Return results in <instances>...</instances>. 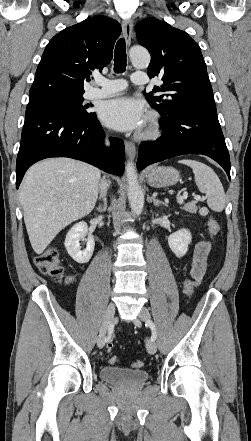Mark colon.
<instances>
[{
  "label": "colon",
  "mask_w": 251,
  "mask_h": 441,
  "mask_svg": "<svg viewBox=\"0 0 251 441\" xmlns=\"http://www.w3.org/2000/svg\"><path fill=\"white\" fill-rule=\"evenodd\" d=\"M208 229L212 236H216L220 231L219 223L216 219L213 217H209L208 222ZM35 265L39 269V271L49 276L50 278H53L55 280L59 281H69L70 279L68 277H65L64 275V268L60 262L59 252L55 247H49L46 250H44L40 255H38L35 258ZM195 286V280H186L184 284V291L187 296H191L194 290ZM114 348L113 342H109L107 345V350L110 352ZM118 361V358L116 356H111L109 358L110 364H116ZM143 366V362L140 360H136L132 363V367L134 368H141Z\"/></svg>",
  "instance_id": "5ec220e1"
}]
</instances>
